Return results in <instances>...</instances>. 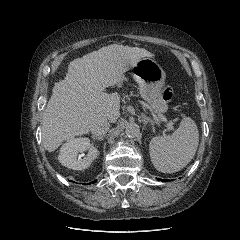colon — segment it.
I'll list each match as a JSON object with an SVG mask.
<instances>
[{"instance_id": "1", "label": "colon", "mask_w": 240, "mask_h": 240, "mask_svg": "<svg viewBox=\"0 0 240 240\" xmlns=\"http://www.w3.org/2000/svg\"><path fill=\"white\" fill-rule=\"evenodd\" d=\"M163 97L165 100H170L172 97V87L171 86H166L165 89L163 90Z\"/></svg>"}]
</instances>
